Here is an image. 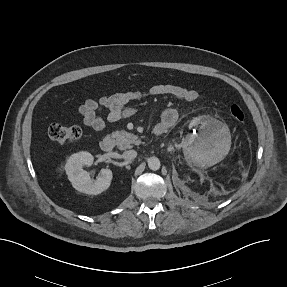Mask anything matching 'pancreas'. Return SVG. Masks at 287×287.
I'll list each match as a JSON object with an SVG mask.
<instances>
[{
	"label": "pancreas",
	"instance_id": "pancreas-1",
	"mask_svg": "<svg viewBox=\"0 0 287 287\" xmlns=\"http://www.w3.org/2000/svg\"><path fill=\"white\" fill-rule=\"evenodd\" d=\"M111 137L115 139L116 145L120 150L131 148L132 144H139L138 137L125 130L115 131L111 134Z\"/></svg>",
	"mask_w": 287,
	"mask_h": 287
}]
</instances>
